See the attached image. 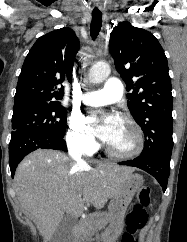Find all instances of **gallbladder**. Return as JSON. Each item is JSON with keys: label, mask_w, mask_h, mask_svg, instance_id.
Returning <instances> with one entry per match:
<instances>
[{"label": "gallbladder", "mask_w": 187, "mask_h": 242, "mask_svg": "<svg viewBox=\"0 0 187 242\" xmlns=\"http://www.w3.org/2000/svg\"><path fill=\"white\" fill-rule=\"evenodd\" d=\"M75 224L74 217L65 214L57 227L51 242H73L72 227Z\"/></svg>", "instance_id": "bac80fb5"}]
</instances>
